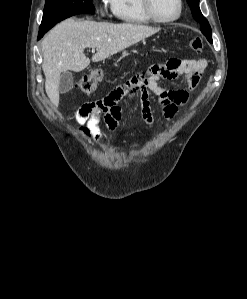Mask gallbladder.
I'll list each match as a JSON object with an SVG mask.
<instances>
[{
	"label": "gallbladder",
	"mask_w": 247,
	"mask_h": 299,
	"mask_svg": "<svg viewBox=\"0 0 247 299\" xmlns=\"http://www.w3.org/2000/svg\"><path fill=\"white\" fill-rule=\"evenodd\" d=\"M73 74L71 71L62 72L59 78V92L65 94L73 88Z\"/></svg>",
	"instance_id": "gallbladder-1"
}]
</instances>
